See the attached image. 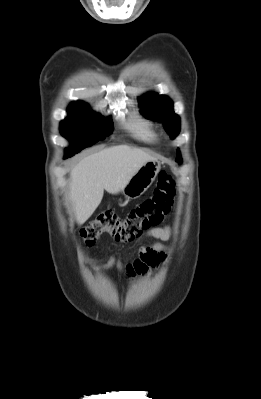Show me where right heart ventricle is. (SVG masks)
Wrapping results in <instances>:
<instances>
[{
  "label": "right heart ventricle",
  "mask_w": 261,
  "mask_h": 399,
  "mask_svg": "<svg viewBox=\"0 0 261 399\" xmlns=\"http://www.w3.org/2000/svg\"><path fill=\"white\" fill-rule=\"evenodd\" d=\"M127 130L138 140L146 143L157 141V134L152 125L139 117H132L126 123Z\"/></svg>",
  "instance_id": "1"
}]
</instances>
